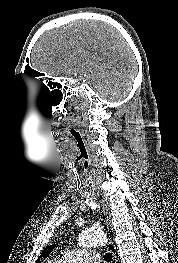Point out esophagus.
<instances>
[{
    "instance_id": "34e87169",
    "label": "esophagus",
    "mask_w": 178,
    "mask_h": 263,
    "mask_svg": "<svg viewBox=\"0 0 178 263\" xmlns=\"http://www.w3.org/2000/svg\"><path fill=\"white\" fill-rule=\"evenodd\" d=\"M101 203H102V206H103V209L105 212L106 221L108 224H110L111 223V217H110V214L108 212L107 206L105 205L104 201H102ZM108 251L112 253V263H117L116 247L112 241H110L108 244Z\"/></svg>"
}]
</instances>
